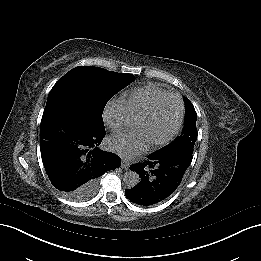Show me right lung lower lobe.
<instances>
[{
  "label": "right lung lower lobe",
  "mask_w": 261,
  "mask_h": 261,
  "mask_svg": "<svg viewBox=\"0 0 261 261\" xmlns=\"http://www.w3.org/2000/svg\"><path fill=\"white\" fill-rule=\"evenodd\" d=\"M103 128L97 122L85 127L80 112L66 106L45 108L41 122V155L45 170L57 189L68 190L76 183L93 181L121 165L117 155L96 148L105 136ZM51 140L65 144L58 145ZM79 168L81 173L74 179Z\"/></svg>",
  "instance_id": "1"
}]
</instances>
